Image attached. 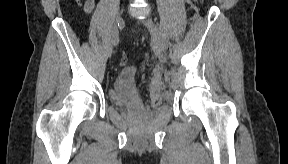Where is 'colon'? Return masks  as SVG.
Wrapping results in <instances>:
<instances>
[{"instance_id":"1","label":"colon","mask_w":288,"mask_h":164,"mask_svg":"<svg viewBox=\"0 0 288 164\" xmlns=\"http://www.w3.org/2000/svg\"><path fill=\"white\" fill-rule=\"evenodd\" d=\"M127 61H128V59H127L126 54H123V55H122V58H121V63H122V64H126Z\"/></svg>"}]
</instances>
